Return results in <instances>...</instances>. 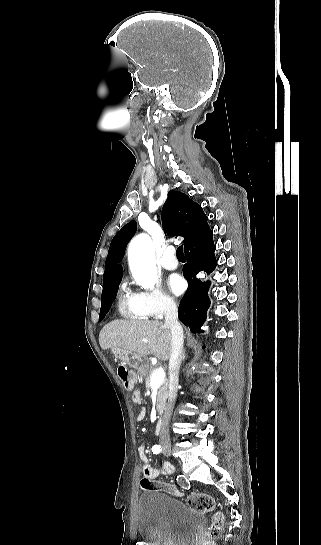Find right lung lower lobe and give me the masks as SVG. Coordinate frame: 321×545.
Segmentation results:
<instances>
[{
    "label": "right lung lower lobe",
    "instance_id": "1",
    "mask_svg": "<svg viewBox=\"0 0 321 545\" xmlns=\"http://www.w3.org/2000/svg\"><path fill=\"white\" fill-rule=\"evenodd\" d=\"M214 251L213 232L209 226L185 245L187 263L183 267V275L189 286L180 302L178 318L193 333L201 332L200 326L205 321L210 304L207 296L210 282L202 283L196 275L202 270L210 273L215 269Z\"/></svg>",
    "mask_w": 321,
    "mask_h": 545
}]
</instances>
